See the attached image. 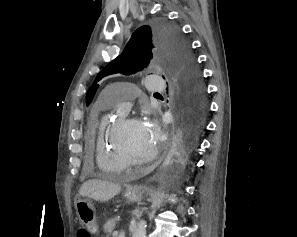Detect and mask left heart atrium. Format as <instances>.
<instances>
[{"label":"left heart atrium","instance_id":"39dd6f15","mask_svg":"<svg viewBox=\"0 0 297 237\" xmlns=\"http://www.w3.org/2000/svg\"><path fill=\"white\" fill-rule=\"evenodd\" d=\"M141 124L143 126L146 136L154 145H157L161 135L158 122L154 119L147 117L143 121H141Z\"/></svg>","mask_w":297,"mask_h":237}]
</instances>
